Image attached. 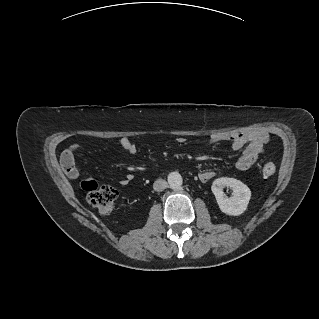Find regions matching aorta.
<instances>
[{"mask_svg":"<svg viewBox=\"0 0 319 319\" xmlns=\"http://www.w3.org/2000/svg\"><path fill=\"white\" fill-rule=\"evenodd\" d=\"M168 183L172 189H179L183 183L182 176L177 172L171 173L168 176Z\"/></svg>","mask_w":319,"mask_h":319,"instance_id":"1","label":"aorta"}]
</instances>
